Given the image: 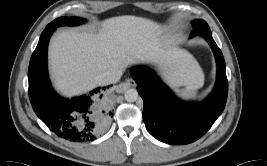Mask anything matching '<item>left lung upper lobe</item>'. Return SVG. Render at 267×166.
<instances>
[{"mask_svg":"<svg viewBox=\"0 0 267 166\" xmlns=\"http://www.w3.org/2000/svg\"><path fill=\"white\" fill-rule=\"evenodd\" d=\"M192 25L193 31L190 34L191 37L204 32H210L209 26L204 20H194Z\"/></svg>","mask_w":267,"mask_h":166,"instance_id":"obj_1","label":"left lung upper lobe"}]
</instances>
